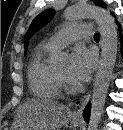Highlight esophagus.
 Wrapping results in <instances>:
<instances>
[{
    "instance_id": "obj_1",
    "label": "esophagus",
    "mask_w": 123,
    "mask_h": 130,
    "mask_svg": "<svg viewBox=\"0 0 123 130\" xmlns=\"http://www.w3.org/2000/svg\"><path fill=\"white\" fill-rule=\"evenodd\" d=\"M90 95H91V92L89 91L87 93V95H85L82 99H81V102H80V105H79V108L74 112L73 114V117L75 119H81L82 118V113H83V110L84 108L86 107L88 101H89V98H90Z\"/></svg>"
}]
</instances>
